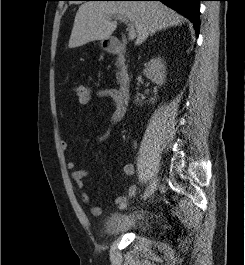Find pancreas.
<instances>
[{
  "label": "pancreas",
  "instance_id": "obj_1",
  "mask_svg": "<svg viewBox=\"0 0 245 265\" xmlns=\"http://www.w3.org/2000/svg\"><path fill=\"white\" fill-rule=\"evenodd\" d=\"M116 75H117V79H118V81H119V72H118Z\"/></svg>",
  "mask_w": 245,
  "mask_h": 265
}]
</instances>
